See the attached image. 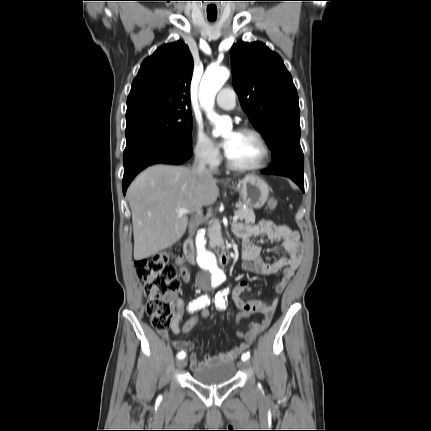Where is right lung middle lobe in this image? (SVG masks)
I'll use <instances>...</instances> for the list:
<instances>
[{
    "label": "right lung middle lobe",
    "instance_id": "right-lung-middle-lobe-1",
    "mask_svg": "<svg viewBox=\"0 0 431 431\" xmlns=\"http://www.w3.org/2000/svg\"><path fill=\"white\" fill-rule=\"evenodd\" d=\"M192 116L190 112H151L126 119V140L146 134H163L192 144Z\"/></svg>",
    "mask_w": 431,
    "mask_h": 431
}]
</instances>
